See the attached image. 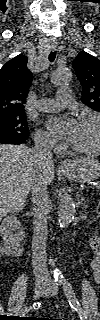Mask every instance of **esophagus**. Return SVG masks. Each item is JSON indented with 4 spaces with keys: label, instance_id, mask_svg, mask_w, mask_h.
<instances>
[{
    "label": "esophagus",
    "instance_id": "1",
    "mask_svg": "<svg viewBox=\"0 0 100 320\" xmlns=\"http://www.w3.org/2000/svg\"><path fill=\"white\" fill-rule=\"evenodd\" d=\"M51 48L52 49H55L56 48V45H51ZM68 166V162L67 161H61L60 162V167L61 168H66Z\"/></svg>",
    "mask_w": 100,
    "mask_h": 320
}]
</instances>
